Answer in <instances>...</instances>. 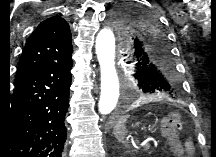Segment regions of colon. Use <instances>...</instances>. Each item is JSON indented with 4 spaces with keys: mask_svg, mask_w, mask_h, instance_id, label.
I'll use <instances>...</instances> for the list:
<instances>
[{
    "mask_svg": "<svg viewBox=\"0 0 216 157\" xmlns=\"http://www.w3.org/2000/svg\"><path fill=\"white\" fill-rule=\"evenodd\" d=\"M182 120L179 114L171 112L162 122V127L167 134H174L177 129L181 128Z\"/></svg>",
    "mask_w": 216,
    "mask_h": 157,
    "instance_id": "colon-1",
    "label": "colon"
}]
</instances>
